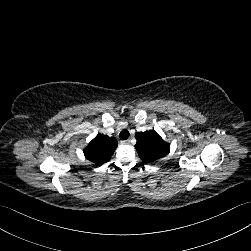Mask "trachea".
<instances>
[{
  "label": "trachea",
  "mask_w": 251,
  "mask_h": 251,
  "mask_svg": "<svg viewBox=\"0 0 251 251\" xmlns=\"http://www.w3.org/2000/svg\"><path fill=\"white\" fill-rule=\"evenodd\" d=\"M119 137H120L121 140H126V139H128V137H129V131H128L127 129H123V130L120 132Z\"/></svg>",
  "instance_id": "3493384b"
}]
</instances>
